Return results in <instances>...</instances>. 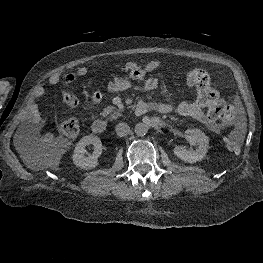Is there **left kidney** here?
<instances>
[{
    "mask_svg": "<svg viewBox=\"0 0 263 263\" xmlns=\"http://www.w3.org/2000/svg\"><path fill=\"white\" fill-rule=\"evenodd\" d=\"M190 144H197L195 150H187L183 146L176 145L173 149L175 156L188 163H195L203 159L209 148L208 136L199 129H188L184 134Z\"/></svg>",
    "mask_w": 263,
    "mask_h": 263,
    "instance_id": "left-kidney-1",
    "label": "left kidney"
}]
</instances>
